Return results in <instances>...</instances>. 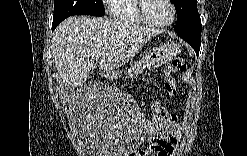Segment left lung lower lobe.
I'll use <instances>...</instances> for the list:
<instances>
[{"mask_svg": "<svg viewBox=\"0 0 247 156\" xmlns=\"http://www.w3.org/2000/svg\"><path fill=\"white\" fill-rule=\"evenodd\" d=\"M201 22L193 24L190 27L184 30H175L176 33L189 43L195 50L196 54H199L200 45H201Z\"/></svg>", "mask_w": 247, "mask_h": 156, "instance_id": "obj_1", "label": "left lung lower lobe"}]
</instances>
